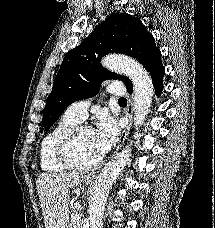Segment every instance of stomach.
Wrapping results in <instances>:
<instances>
[{"mask_svg": "<svg viewBox=\"0 0 215 228\" xmlns=\"http://www.w3.org/2000/svg\"><path fill=\"white\" fill-rule=\"evenodd\" d=\"M82 182H84V184H86V186H91L92 182L90 180V174H89V176H84ZM93 184H94V182H93Z\"/></svg>", "mask_w": 215, "mask_h": 228, "instance_id": "obj_1", "label": "stomach"}]
</instances>
